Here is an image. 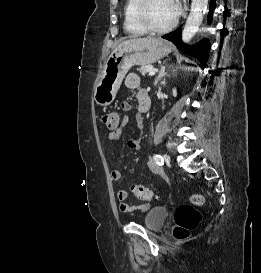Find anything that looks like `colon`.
<instances>
[{
    "label": "colon",
    "mask_w": 261,
    "mask_h": 273,
    "mask_svg": "<svg viewBox=\"0 0 261 273\" xmlns=\"http://www.w3.org/2000/svg\"><path fill=\"white\" fill-rule=\"evenodd\" d=\"M102 122L109 129H116L120 123V115L117 112H107L102 115ZM133 195L145 201H153L158 198L157 194L139 184H134L131 187ZM191 204H184L180 206L175 213L176 228L174 230V236L178 239H183L188 236L191 230L201 221L200 212L193 207V205H203L204 197L200 194H193L190 197Z\"/></svg>",
    "instance_id": "5ec220e1"
}]
</instances>
